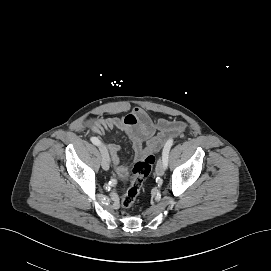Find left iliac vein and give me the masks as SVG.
Returning a JSON list of instances; mask_svg holds the SVG:
<instances>
[{
  "mask_svg": "<svg viewBox=\"0 0 271 271\" xmlns=\"http://www.w3.org/2000/svg\"><path fill=\"white\" fill-rule=\"evenodd\" d=\"M164 173H165V165H164L163 159L160 158L156 165V174L158 176H163Z\"/></svg>",
  "mask_w": 271,
  "mask_h": 271,
  "instance_id": "obj_1",
  "label": "left iliac vein"
}]
</instances>
